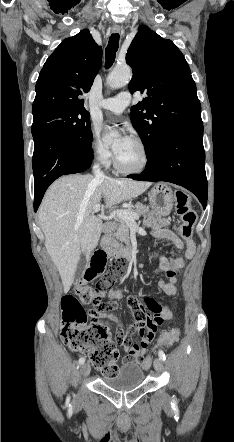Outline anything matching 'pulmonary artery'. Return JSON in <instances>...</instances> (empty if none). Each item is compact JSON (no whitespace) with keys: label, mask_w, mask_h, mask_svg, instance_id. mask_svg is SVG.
Segmentation results:
<instances>
[{"label":"pulmonary artery","mask_w":234,"mask_h":442,"mask_svg":"<svg viewBox=\"0 0 234 442\" xmlns=\"http://www.w3.org/2000/svg\"><path fill=\"white\" fill-rule=\"evenodd\" d=\"M131 103V96L128 92H121L112 98H106L100 101L99 106L104 110L120 114Z\"/></svg>","instance_id":"obj_1"}]
</instances>
